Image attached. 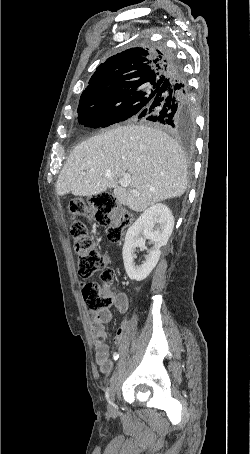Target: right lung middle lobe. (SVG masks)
Returning <instances> with one entry per match:
<instances>
[{"label":"right lung middle lobe","mask_w":250,"mask_h":454,"mask_svg":"<svg viewBox=\"0 0 250 454\" xmlns=\"http://www.w3.org/2000/svg\"><path fill=\"white\" fill-rule=\"evenodd\" d=\"M160 85L149 83L138 86L125 95L98 103L78 106V121L87 127H107L136 116L155 98ZM159 96V95H158Z\"/></svg>","instance_id":"1"}]
</instances>
